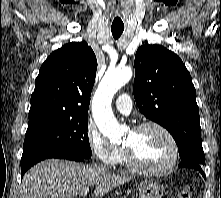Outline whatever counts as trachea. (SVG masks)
<instances>
[{
  "mask_svg": "<svg viewBox=\"0 0 221 198\" xmlns=\"http://www.w3.org/2000/svg\"><path fill=\"white\" fill-rule=\"evenodd\" d=\"M124 31V27H111V32L114 39H118Z\"/></svg>",
  "mask_w": 221,
  "mask_h": 198,
  "instance_id": "1",
  "label": "trachea"
}]
</instances>
